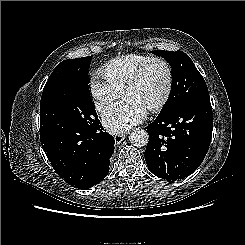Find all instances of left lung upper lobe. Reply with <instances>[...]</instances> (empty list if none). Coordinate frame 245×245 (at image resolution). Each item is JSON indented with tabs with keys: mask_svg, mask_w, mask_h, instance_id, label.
<instances>
[{
	"mask_svg": "<svg viewBox=\"0 0 245 245\" xmlns=\"http://www.w3.org/2000/svg\"><path fill=\"white\" fill-rule=\"evenodd\" d=\"M152 54L164 58L172 68L169 98L158 116H167L198 96H208L207 85L190 57L182 51L154 50Z\"/></svg>",
	"mask_w": 245,
	"mask_h": 245,
	"instance_id": "5c2ea615",
	"label": "left lung upper lobe"
}]
</instances>
